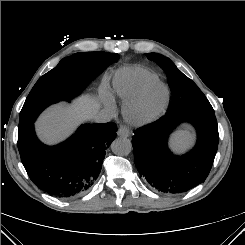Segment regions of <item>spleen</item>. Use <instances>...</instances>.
Masks as SVG:
<instances>
[{"instance_id": "obj_1", "label": "spleen", "mask_w": 245, "mask_h": 245, "mask_svg": "<svg viewBox=\"0 0 245 245\" xmlns=\"http://www.w3.org/2000/svg\"><path fill=\"white\" fill-rule=\"evenodd\" d=\"M185 141H186V137L184 136V134H181L177 136V138L175 139L174 146L177 148H182L185 144Z\"/></svg>"}]
</instances>
